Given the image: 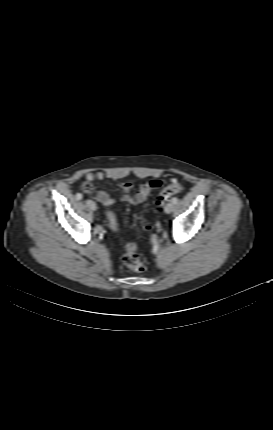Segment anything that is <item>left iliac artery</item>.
Returning <instances> with one entry per match:
<instances>
[{
	"instance_id": "obj_1",
	"label": "left iliac artery",
	"mask_w": 273,
	"mask_h": 430,
	"mask_svg": "<svg viewBox=\"0 0 273 430\" xmlns=\"http://www.w3.org/2000/svg\"><path fill=\"white\" fill-rule=\"evenodd\" d=\"M171 202H172L173 204H177V203H178V199H177V198H173V199L171 200Z\"/></svg>"
}]
</instances>
